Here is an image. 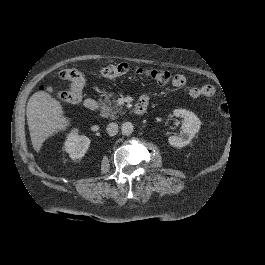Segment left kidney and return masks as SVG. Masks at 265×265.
Here are the masks:
<instances>
[{
    "label": "left kidney",
    "instance_id": "obj_1",
    "mask_svg": "<svg viewBox=\"0 0 265 265\" xmlns=\"http://www.w3.org/2000/svg\"><path fill=\"white\" fill-rule=\"evenodd\" d=\"M173 115L182 118L184 121V124L182 125V137L171 136L168 138V143L174 148H182L192 142L195 134L200 130L201 121L195 113L184 109L174 110Z\"/></svg>",
    "mask_w": 265,
    "mask_h": 265
}]
</instances>
